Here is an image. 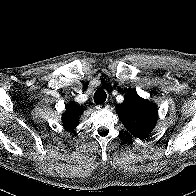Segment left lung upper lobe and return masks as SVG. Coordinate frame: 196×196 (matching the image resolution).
I'll use <instances>...</instances> for the list:
<instances>
[{
  "label": "left lung upper lobe",
  "mask_w": 196,
  "mask_h": 196,
  "mask_svg": "<svg viewBox=\"0 0 196 196\" xmlns=\"http://www.w3.org/2000/svg\"><path fill=\"white\" fill-rule=\"evenodd\" d=\"M117 112L126 129L139 138L153 129L157 119L156 106L134 91L126 94L124 102L117 107Z\"/></svg>",
  "instance_id": "1"
}]
</instances>
